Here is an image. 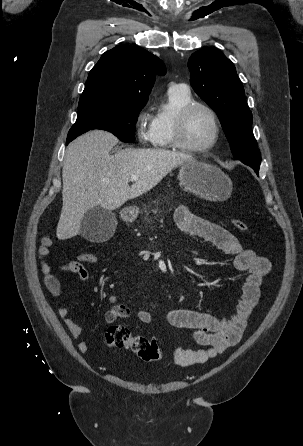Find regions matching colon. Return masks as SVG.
<instances>
[{"instance_id": "obj_1", "label": "colon", "mask_w": 303, "mask_h": 446, "mask_svg": "<svg viewBox=\"0 0 303 446\" xmlns=\"http://www.w3.org/2000/svg\"><path fill=\"white\" fill-rule=\"evenodd\" d=\"M231 223L237 230H248V225L241 219L232 218ZM79 258L84 262L94 263L98 260V255L94 252L86 251L80 253ZM104 342L110 348H129L145 362H157L162 358V350L154 339L141 335H132L125 326L115 325L109 327L105 332Z\"/></svg>"}]
</instances>
